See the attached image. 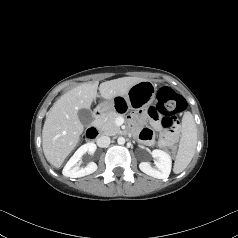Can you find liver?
<instances>
[{
  "mask_svg": "<svg viewBox=\"0 0 238 238\" xmlns=\"http://www.w3.org/2000/svg\"><path fill=\"white\" fill-rule=\"evenodd\" d=\"M145 79L123 77L81 84L62 95L46 114L42 130V147L47 161L59 168L80 140L84 128L78 117L80 109H89L97 97L112 100L124 96L130 88Z\"/></svg>",
  "mask_w": 238,
  "mask_h": 238,
  "instance_id": "1",
  "label": "liver"
}]
</instances>
